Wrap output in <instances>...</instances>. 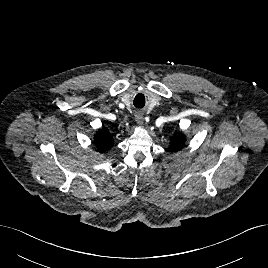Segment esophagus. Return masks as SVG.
I'll list each match as a JSON object with an SVG mask.
<instances>
[{
	"label": "esophagus",
	"instance_id": "esophagus-1",
	"mask_svg": "<svg viewBox=\"0 0 268 268\" xmlns=\"http://www.w3.org/2000/svg\"><path fill=\"white\" fill-rule=\"evenodd\" d=\"M143 118H144V115L142 112H137L135 114V120L140 126L143 124Z\"/></svg>",
	"mask_w": 268,
	"mask_h": 268
}]
</instances>
